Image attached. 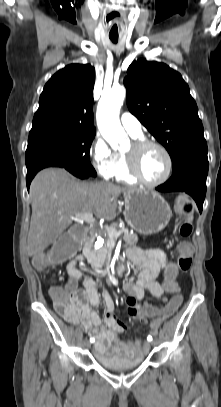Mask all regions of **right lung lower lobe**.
Listing matches in <instances>:
<instances>
[{
	"mask_svg": "<svg viewBox=\"0 0 221 407\" xmlns=\"http://www.w3.org/2000/svg\"><path fill=\"white\" fill-rule=\"evenodd\" d=\"M46 167H63L66 170H68L70 173H72L73 175H75L76 177L81 178V179H86V178L92 176L90 174L83 173L76 169L70 168L59 160L44 159V160L38 161L37 163H35L32 166L27 168L26 184H27L28 191H29L30 183H31L32 179L34 178V176L36 175V173Z\"/></svg>",
	"mask_w": 221,
	"mask_h": 407,
	"instance_id": "1",
	"label": "right lung lower lobe"
}]
</instances>
